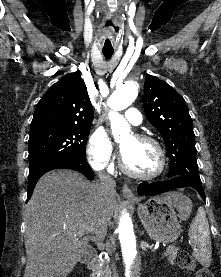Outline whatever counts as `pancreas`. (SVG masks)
<instances>
[{
    "mask_svg": "<svg viewBox=\"0 0 221 277\" xmlns=\"http://www.w3.org/2000/svg\"><path fill=\"white\" fill-rule=\"evenodd\" d=\"M178 248H173L172 250L166 251L165 256L168 257V261L170 264H174V259L178 254ZM109 266L105 263L102 267L99 268L98 273L99 277H109Z\"/></svg>",
    "mask_w": 221,
    "mask_h": 277,
    "instance_id": "pancreas-1",
    "label": "pancreas"
}]
</instances>
